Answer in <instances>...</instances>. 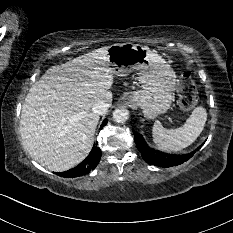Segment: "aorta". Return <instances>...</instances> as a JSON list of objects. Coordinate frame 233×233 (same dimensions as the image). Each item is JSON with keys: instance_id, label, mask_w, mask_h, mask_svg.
I'll return each instance as SVG.
<instances>
[{"instance_id": "762f6f07", "label": "aorta", "mask_w": 233, "mask_h": 233, "mask_svg": "<svg viewBox=\"0 0 233 233\" xmlns=\"http://www.w3.org/2000/svg\"><path fill=\"white\" fill-rule=\"evenodd\" d=\"M128 118H129V111L124 107L117 108L113 112V120L117 123H123L127 121Z\"/></svg>"}]
</instances>
